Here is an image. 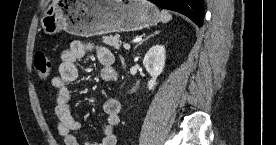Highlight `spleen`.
<instances>
[{"label": "spleen", "mask_w": 276, "mask_h": 145, "mask_svg": "<svg viewBox=\"0 0 276 145\" xmlns=\"http://www.w3.org/2000/svg\"><path fill=\"white\" fill-rule=\"evenodd\" d=\"M160 18L163 23H167L172 19V16L168 11L162 10L160 13Z\"/></svg>", "instance_id": "obj_1"}]
</instances>
